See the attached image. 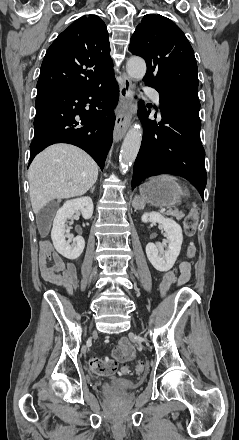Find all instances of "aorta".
I'll return each instance as SVG.
<instances>
[{
  "label": "aorta",
  "mask_w": 239,
  "mask_h": 440,
  "mask_svg": "<svg viewBox=\"0 0 239 440\" xmlns=\"http://www.w3.org/2000/svg\"><path fill=\"white\" fill-rule=\"evenodd\" d=\"M126 70L127 74H129L131 78H135V80H142V78H144L146 74L147 68L142 58H136V56H134V58H129L126 64ZM141 142V128H137V126H132V128L128 130L121 148L120 164L121 170H123V172H125L128 166H131L134 160H136Z\"/></svg>",
  "instance_id": "aorta-1"
}]
</instances>
